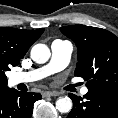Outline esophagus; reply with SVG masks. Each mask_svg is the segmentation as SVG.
I'll return each mask as SVG.
<instances>
[{"mask_svg": "<svg viewBox=\"0 0 118 118\" xmlns=\"http://www.w3.org/2000/svg\"><path fill=\"white\" fill-rule=\"evenodd\" d=\"M59 93L56 91H45L43 92V96L44 97H54V96H58Z\"/></svg>", "mask_w": 118, "mask_h": 118, "instance_id": "obj_1", "label": "esophagus"}]
</instances>
